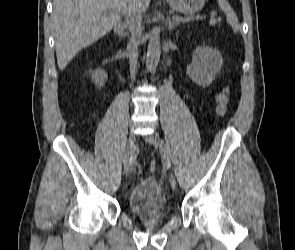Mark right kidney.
I'll use <instances>...</instances> for the list:
<instances>
[{
    "label": "right kidney",
    "mask_w": 295,
    "mask_h": 250,
    "mask_svg": "<svg viewBox=\"0 0 295 250\" xmlns=\"http://www.w3.org/2000/svg\"><path fill=\"white\" fill-rule=\"evenodd\" d=\"M107 79V73L101 69H96L91 72V80L96 84L97 87H102Z\"/></svg>",
    "instance_id": "obj_1"
}]
</instances>
